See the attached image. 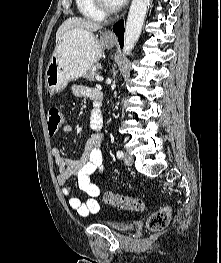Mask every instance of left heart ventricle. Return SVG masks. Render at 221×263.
<instances>
[{
	"label": "left heart ventricle",
	"instance_id": "1",
	"mask_svg": "<svg viewBox=\"0 0 221 263\" xmlns=\"http://www.w3.org/2000/svg\"><path fill=\"white\" fill-rule=\"evenodd\" d=\"M105 2L109 6H117L118 5L115 0H105Z\"/></svg>",
	"mask_w": 221,
	"mask_h": 263
}]
</instances>
